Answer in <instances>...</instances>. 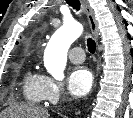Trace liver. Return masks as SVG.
Instances as JSON below:
<instances>
[{
  "label": "liver",
  "instance_id": "1",
  "mask_svg": "<svg viewBox=\"0 0 133 118\" xmlns=\"http://www.w3.org/2000/svg\"><path fill=\"white\" fill-rule=\"evenodd\" d=\"M5 118H49L45 108L31 105H16L5 110Z\"/></svg>",
  "mask_w": 133,
  "mask_h": 118
}]
</instances>
